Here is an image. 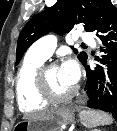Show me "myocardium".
<instances>
[{"label":"myocardium","instance_id":"1","mask_svg":"<svg viewBox=\"0 0 117 131\" xmlns=\"http://www.w3.org/2000/svg\"><path fill=\"white\" fill-rule=\"evenodd\" d=\"M58 67L56 63H48L40 67L36 76V85L39 95L47 102L50 103H63L71 100L79 90L78 86H75L73 90L65 95H56L50 89L46 80V71Z\"/></svg>","mask_w":117,"mask_h":131}]
</instances>
